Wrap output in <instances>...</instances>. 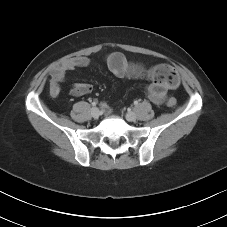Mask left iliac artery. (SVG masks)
<instances>
[{
	"instance_id": "1",
	"label": "left iliac artery",
	"mask_w": 227,
	"mask_h": 227,
	"mask_svg": "<svg viewBox=\"0 0 227 227\" xmlns=\"http://www.w3.org/2000/svg\"><path fill=\"white\" fill-rule=\"evenodd\" d=\"M138 104V101H134V105H137Z\"/></svg>"
}]
</instances>
